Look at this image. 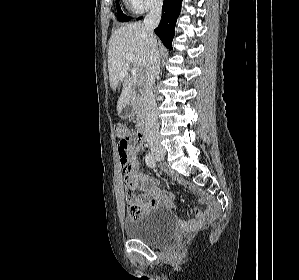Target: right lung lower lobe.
<instances>
[{"mask_svg":"<svg viewBox=\"0 0 299 280\" xmlns=\"http://www.w3.org/2000/svg\"><path fill=\"white\" fill-rule=\"evenodd\" d=\"M182 0H164L162 6V18L159 26L154 30L165 47L172 49L174 28L179 16ZM138 19H141L138 18Z\"/></svg>","mask_w":299,"mask_h":280,"instance_id":"1","label":"right lung lower lobe"}]
</instances>
